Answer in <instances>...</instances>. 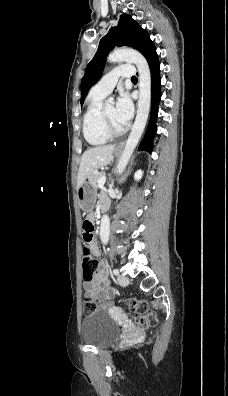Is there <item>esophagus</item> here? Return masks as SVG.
<instances>
[{
  "label": "esophagus",
  "mask_w": 228,
  "mask_h": 396,
  "mask_svg": "<svg viewBox=\"0 0 228 396\" xmlns=\"http://www.w3.org/2000/svg\"><path fill=\"white\" fill-rule=\"evenodd\" d=\"M124 144H125V142L122 141V142H120V143L118 144V147H119V148H122V147L124 146Z\"/></svg>",
  "instance_id": "obj_1"
}]
</instances>
